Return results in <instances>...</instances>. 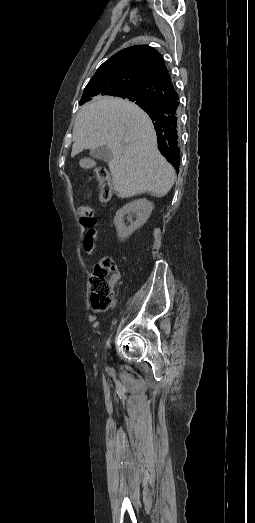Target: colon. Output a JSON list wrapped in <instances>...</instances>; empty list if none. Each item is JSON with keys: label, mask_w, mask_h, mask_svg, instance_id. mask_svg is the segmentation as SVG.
<instances>
[{"label": "colon", "mask_w": 255, "mask_h": 523, "mask_svg": "<svg viewBox=\"0 0 255 523\" xmlns=\"http://www.w3.org/2000/svg\"><path fill=\"white\" fill-rule=\"evenodd\" d=\"M96 173L100 183L99 199L102 202H108L112 195L108 172L99 168ZM78 212L84 225L93 223V208L90 205H81ZM118 278L116 265L110 257L105 256L95 264L90 278L91 304L95 310H106L111 307Z\"/></svg>", "instance_id": "colon-1"}]
</instances>
